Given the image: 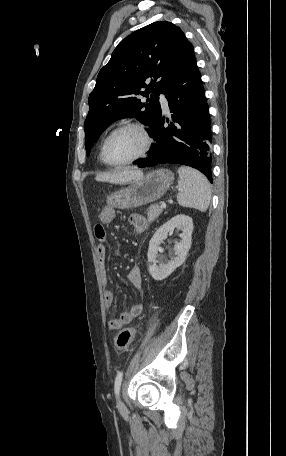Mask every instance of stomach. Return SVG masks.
Instances as JSON below:
<instances>
[{"label": "stomach", "mask_w": 286, "mask_h": 456, "mask_svg": "<svg viewBox=\"0 0 286 456\" xmlns=\"http://www.w3.org/2000/svg\"><path fill=\"white\" fill-rule=\"evenodd\" d=\"M173 181V173L167 169L151 171L129 187L107 197V203L118 209H129L152 203L162 197Z\"/></svg>", "instance_id": "obj_1"}]
</instances>
